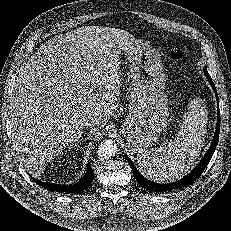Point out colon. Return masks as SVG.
<instances>
[{"mask_svg": "<svg viewBox=\"0 0 231 231\" xmlns=\"http://www.w3.org/2000/svg\"><path fill=\"white\" fill-rule=\"evenodd\" d=\"M170 58L174 62H180L185 58V53L180 48H174V49H172V51L170 53Z\"/></svg>", "mask_w": 231, "mask_h": 231, "instance_id": "5ec220e1", "label": "colon"}]
</instances>
